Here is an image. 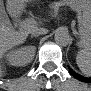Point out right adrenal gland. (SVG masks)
Listing matches in <instances>:
<instances>
[{"instance_id": "right-adrenal-gland-1", "label": "right adrenal gland", "mask_w": 91, "mask_h": 91, "mask_svg": "<svg viewBox=\"0 0 91 91\" xmlns=\"http://www.w3.org/2000/svg\"><path fill=\"white\" fill-rule=\"evenodd\" d=\"M30 37H31V38H33V37H38V35H36V36H34V35H31Z\"/></svg>"}]
</instances>
